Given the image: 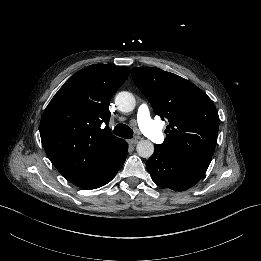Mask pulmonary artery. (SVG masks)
Wrapping results in <instances>:
<instances>
[{
  "label": "pulmonary artery",
  "instance_id": "1",
  "mask_svg": "<svg viewBox=\"0 0 261 261\" xmlns=\"http://www.w3.org/2000/svg\"><path fill=\"white\" fill-rule=\"evenodd\" d=\"M150 111L147 105L143 104L138 109L137 121L143 133H148L150 139L154 142H159L162 139V134L158 129L156 122L150 121Z\"/></svg>",
  "mask_w": 261,
  "mask_h": 261
}]
</instances>
